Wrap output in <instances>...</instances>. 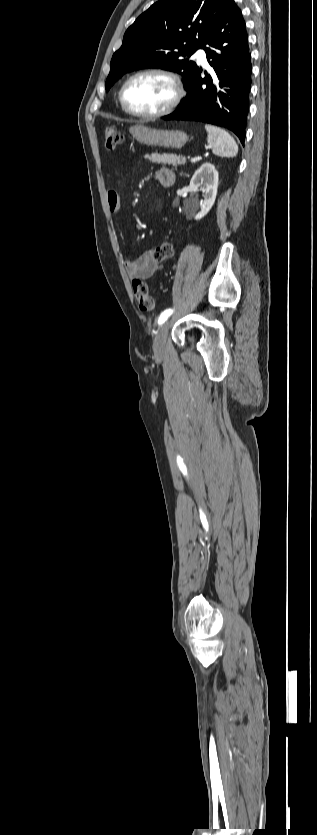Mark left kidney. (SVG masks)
Returning a JSON list of instances; mask_svg holds the SVG:
<instances>
[{
	"label": "left kidney",
	"mask_w": 317,
	"mask_h": 835,
	"mask_svg": "<svg viewBox=\"0 0 317 835\" xmlns=\"http://www.w3.org/2000/svg\"><path fill=\"white\" fill-rule=\"evenodd\" d=\"M191 189H200L203 193L201 210L195 215V220L202 219L211 210L218 192V171L210 162H204L190 180Z\"/></svg>",
	"instance_id": "obj_1"
}]
</instances>
